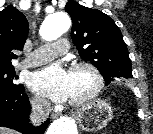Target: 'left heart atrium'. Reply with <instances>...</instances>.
Returning a JSON list of instances; mask_svg holds the SVG:
<instances>
[{
    "label": "left heart atrium",
    "instance_id": "1",
    "mask_svg": "<svg viewBox=\"0 0 153 134\" xmlns=\"http://www.w3.org/2000/svg\"><path fill=\"white\" fill-rule=\"evenodd\" d=\"M29 87L52 101H66L70 93V73L58 64L45 67L31 74Z\"/></svg>",
    "mask_w": 153,
    "mask_h": 134
}]
</instances>
